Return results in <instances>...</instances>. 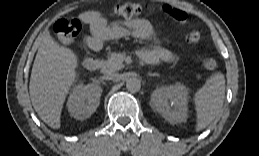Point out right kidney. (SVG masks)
<instances>
[{
  "label": "right kidney",
  "mask_w": 259,
  "mask_h": 156,
  "mask_svg": "<svg viewBox=\"0 0 259 156\" xmlns=\"http://www.w3.org/2000/svg\"><path fill=\"white\" fill-rule=\"evenodd\" d=\"M102 88L97 84L75 85L67 101L70 114L79 120L89 118L100 103Z\"/></svg>",
  "instance_id": "1"
}]
</instances>
